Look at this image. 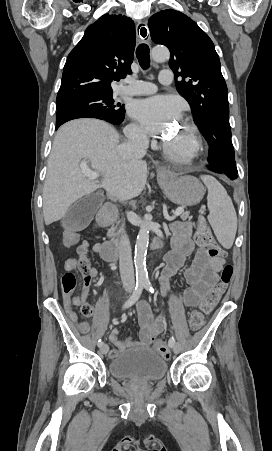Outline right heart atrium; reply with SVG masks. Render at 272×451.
I'll list each match as a JSON object with an SVG mask.
<instances>
[{"instance_id":"1","label":"right heart atrium","mask_w":272,"mask_h":451,"mask_svg":"<svg viewBox=\"0 0 272 451\" xmlns=\"http://www.w3.org/2000/svg\"><path fill=\"white\" fill-rule=\"evenodd\" d=\"M129 128H130V133L133 136H139L142 133V129L137 123L130 124Z\"/></svg>"}]
</instances>
